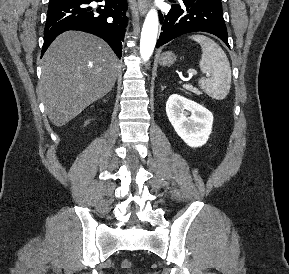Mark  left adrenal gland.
I'll use <instances>...</instances> for the list:
<instances>
[{"label":"left adrenal gland","mask_w":289,"mask_h":274,"mask_svg":"<svg viewBox=\"0 0 289 274\" xmlns=\"http://www.w3.org/2000/svg\"><path fill=\"white\" fill-rule=\"evenodd\" d=\"M161 89H162V90H164V89H165V87L161 86Z\"/></svg>","instance_id":"left-adrenal-gland-1"}]
</instances>
